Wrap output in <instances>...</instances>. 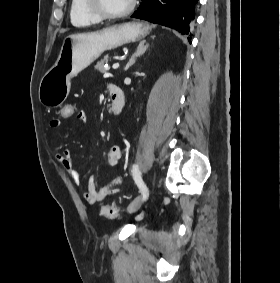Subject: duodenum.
Segmentation results:
<instances>
[{
	"mask_svg": "<svg viewBox=\"0 0 280 283\" xmlns=\"http://www.w3.org/2000/svg\"><path fill=\"white\" fill-rule=\"evenodd\" d=\"M110 110L113 115H119L125 104L123 91L115 85L109 87Z\"/></svg>",
	"mask_w": 280,
	"mask_h": 283,
	"instance_id": "duodenum-1",
	"label": "duodenum"
}]
</instances>
